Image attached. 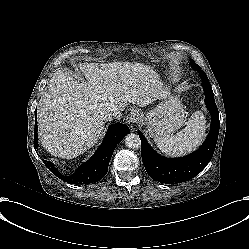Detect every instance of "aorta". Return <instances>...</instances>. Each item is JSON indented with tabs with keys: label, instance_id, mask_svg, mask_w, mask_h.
<instances>
[{
	"label": "aorta",
	"instance_id": "762f6f07",
	"mask_svg": "<svg viewBox=\"0 0 249 249\" xmlns=\"http://www.w3.org/2000/svg\"><path fill=\"white\" fill-rule=\"evenodd\" d=\"M125 146L129 149H139L141 147V140L137 134L130 133L124 139Z\"/></svg>",
	"mask_w": 249,
	"mask_h": 249
}]
</instances>
